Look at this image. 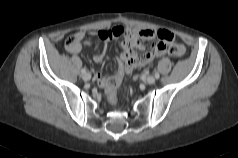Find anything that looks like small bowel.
Here are the masks:
<instances>
[{
  "label": "small bowel",
  "instance_id": "small-bowel-1",
  "mask_svg": "<svg viewBox=\"0 0 238 158\" xmlns=\"http://www.w3.org/2000/svg\"><path fill=\"white\" fill-rule=\"evenodd\" d=\"M114 37L123 36L124 41L122 44L123 52L119 57V64L116 73L111 77H106L101 73H97L96 79L100 87L109 91L110 82L112 79L118 83L121 82V78L124 74H129L133 69L145 66L152 62L155 58L162 57L166 54V46L173 40V34L168 30L164 29H134V28H123L115 27L110 29ZM78 40V44L75 47L67 48L70 52L76 53L81 49V44H91L90 41L85 40L86 33L83 31L74 34ZM158 39L152 46V48L143 53L137 54L136 51H143L144 45L141 40ZM106 47L101 51L97 52L93 59L95 62H101L105 56Z\"/></svg>",
  "mask_w": 238,
  "mask_h": 158
}]
</instances>
